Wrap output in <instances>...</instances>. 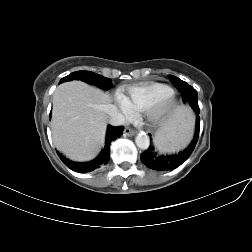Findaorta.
Here are the masks:
<instances>
[{"instance_id": "762f6f07", "label": "aorta", "mask_w": 252, "mask_h": 252, "mask_svg": "<svg viewBox=\"0 0 252 252\" xmlns=\"http://www.w3.org/2000/svg\"><path fill=\"white\" fill-rule=\"evenodd\" d=\"M135 142H136V145L142 150H146L150 144L148 136L143 133H139L136 136Z\"/></svg>"}]
</instances>
